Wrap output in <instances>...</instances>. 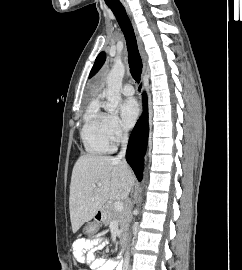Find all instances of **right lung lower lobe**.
<instances>
[{
	"instance_id": "1",
	"label": "right lung lower lobe",
	"mask_w": 242,
	"mask_h": 270,
	"mask_svg": "<svg viewBox=\"0 0 242 270\" xmlns=\"http://www.w3.org/2000/svg\"><path fill=\"white\" fill-rule=\"evenodd\" d=\"M144 112L136 123L127 146L126 159L139 181L142 179L143 157L146 151L148 138L147 99L144 97Z\"/></svg>"
}]
</instances>
